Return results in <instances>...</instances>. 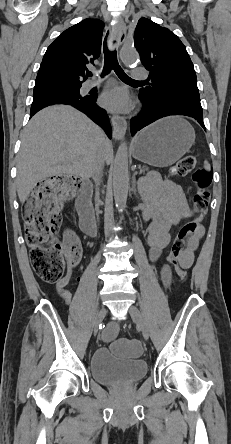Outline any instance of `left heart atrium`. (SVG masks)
Returning <instances> with one entry per match:
<instances>
[{"instance_id": "39dd6f15", "label": "left heart atrium", "mask_w": 231, "mask_h": 444, "mask_svg": "<svg viewBox=\"0 0 231 444\" xmlns=\"http://www.w3.org/2000/svg\"><path fill=\"white\" fill-rule=\"evenodd\" d=\"M100 102L103 107L114 112H124L130 108V99L124 88L116 87L105 91Z\"/></svg>"}]
</instances>
